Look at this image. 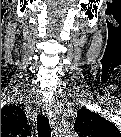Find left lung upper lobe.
<instances>
[{
    "label": "left lung upper lobe",
    "instance_id": "obj_1",
    "mask_svg": "<svg viewBox=\"0 0 121 137\" xmlns=\"http://www.w3.org/2000/svg\"><path fill=\"white\" fill-rule=\"evenodd\" d=\"M74 129L80 136L114 137L120 135L114 124L85 108L78 111Z\"/></svg>",
    "mask_w": 121,
    "mask_h": 137
}]
</instances>
